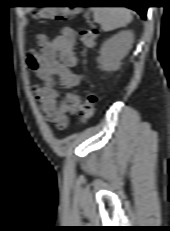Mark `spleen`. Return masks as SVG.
I'll return each instance as SVG.
<instances>
[{
	"mask_svg": "<svg viewBox=\"0 0 170 231\" xmlns=\"http://www.w3.org/2000/svg\"><path fill=\"white\" fill-rule=\"evenodd\" d=\"M95 22L108 32L125 27L132 20L130 10L124 7H92Z\"/></svg>",
	"mask_w": 170,
	"mask_h": 231,
	"instance_id": "3e777b00",
	"label": "spleen"
}]
</instances>
